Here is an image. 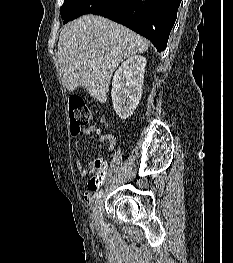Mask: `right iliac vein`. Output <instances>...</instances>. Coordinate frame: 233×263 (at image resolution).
I'll return each instance as SVG.
<instances>
[{"instance_id": "obj_1", "label": "right iliac vein", "mask_w": 233, "mask_h": 263, "mask_svg": "<svg viewBox=\"0 0 233 263\" xmlns=\"http://www.w3.org/2000/svg\"><path fill=\"white\" fill-rule=\"evenodd\" d=\"M102 205H103V201L102 199H99L93 210V218L96 224H100L102 222V217H103Z\"/></svg>"}]
</instances>
